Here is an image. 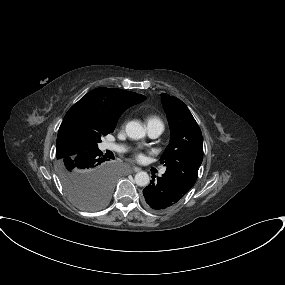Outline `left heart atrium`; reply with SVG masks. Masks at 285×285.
I'll use <instances>...</instances> for the list:
<instances>
[{"mask_svg": "<svg viewBox=\"0 0 285 285\" xmlns=\"http://www.w3.org/2000/svg\"><path fill=\"white\" fill-rule=\"evenodd\" d=\"M142 157H143V155H142L141 153H137V154H136V158H137V159H141Z\"/></svg>", "mask_w": 285, "mask_h": 285, "instance_id": "1", "label": "left heart atrium"}]
</instances>
